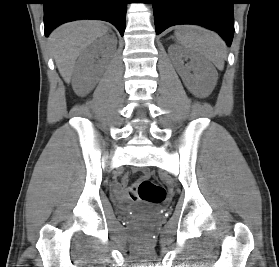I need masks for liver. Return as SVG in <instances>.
I'll return each mask as SVG.
<instances>
[{
    "mask_svg": "<svg viewBox=\"0 0 279 267\" xmlns=\"http://www.w3.org/2000/svg\"><path fill=\"white\" fill-rule=\"evenodd\" d=\"M108 27L101 21L80 20L55 29L49 42L58 70L69 83L76 59L95 39L105 35Z\"/></svg>",
    "mask_w": 279,
    "mask_h": 267,
    "instance_id": "obj_1",
    "label": "liver"
}]
</instances>
